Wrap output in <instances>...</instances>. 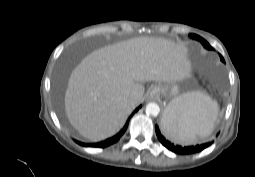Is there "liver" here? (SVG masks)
Instances as JSON below:
<instances>
[{"mask_svg":"<svg viewBox=\"0 0 255 177\" xmlns=\"http://www.w3.org/2000/svg\"><path fill=\"white\" fill-rule=\"evenodd\" d=\"M191 76L184 45L138 37L87 55L72 71L65 92L71 125L97 142L115 135L143 99V82L174 83ZM135 103L130 104L129 99Z\"/></svg>","mask_w":255,"mask_h":177,"instance_id":"liver-1","label":"liver"}]
</instances>
